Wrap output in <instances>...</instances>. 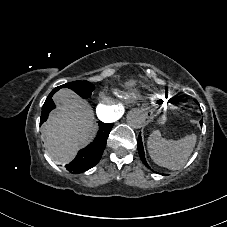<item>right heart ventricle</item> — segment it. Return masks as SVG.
<instances>
[{"instance_id": "obj_1", "label": "right heart ventricle", "mask_w": 227, "mask_h": 227, "mask_svg": "<svg viewBox=\"0 0 227 227\" xmlns=\"http://www.w3.org/2000/svg\"><path fill=\"white\" fill-rule=\"evenodd\" d=\"M115 94L119 98H121V99H123V100H125L127 102H138V101L143 100L142 96L139 95V94H136V93H128V92H123V91L117 90L115 92Z\"/></svg>"}]
</instances>
